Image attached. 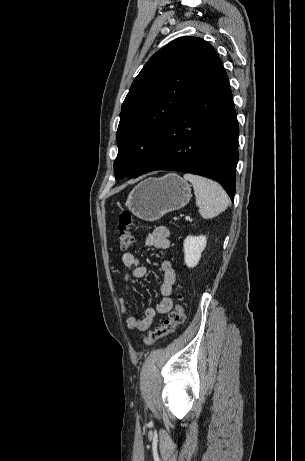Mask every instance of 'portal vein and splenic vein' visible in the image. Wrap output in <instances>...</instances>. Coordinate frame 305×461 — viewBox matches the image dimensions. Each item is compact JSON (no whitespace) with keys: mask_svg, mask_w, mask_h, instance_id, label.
Instances as JSON below:
<instances>
[{"mask_svg":"<svg viewBox=\"0 0 305 461\" xmlns=\"http://www.w3.org/2000/svg\"><path fill=\"white\" fill-rule=\"evenodd\" d=\"M185 219H186V220H190V217H189V216H186Z\"/></svg>","mask_w":305,"mask_h":461,"instance_id":"obj_1","label":"portal vein and splenic vein"}]
</instances>
